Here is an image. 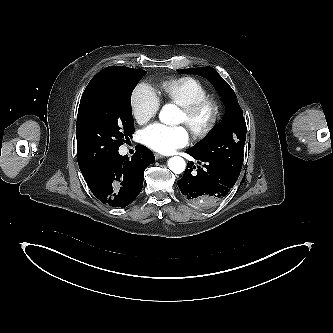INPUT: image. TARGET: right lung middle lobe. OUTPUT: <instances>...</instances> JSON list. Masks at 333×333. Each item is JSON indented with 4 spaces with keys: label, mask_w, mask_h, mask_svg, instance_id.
Here are the masks:
<instances>
[{
    "label": "right lung middle lobe",
    "mask_w": 333,
    "mask_h": 333,
    "mask_svg": "<svg viewBox=\"0 0 333 333\" xmlns=\"http://www.w3.org/2000/svg\"><path fill=\"white\" fill-rule=\"evenodd\" d=\"M145 74L121 66L101 72L89 82L76 125L80 170L91 169L116 154L134 132L130 98Z\"/></svg>",
    "instance_id": "right-lung-middle-lobe-1"
}]
</instances>
